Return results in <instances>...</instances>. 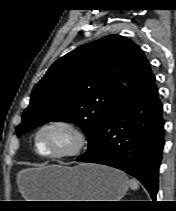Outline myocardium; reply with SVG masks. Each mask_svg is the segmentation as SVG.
I'll return each mask as SVG.
<instances>
[{
    "label": "myocardium",
    "mask_w": 176,
    "mask_h": 211,
    "mask_svg": "<svg viewBox=\"0 0 176 211\" xmlns=\"http://www.w3.org/2000/svg\"><path fill=\"white\" fill-rule=\"evenodd\" d=\"M53 128L62 129L71 137V147L60 152L42 153L38 149V138L42 132ZM87 143L88 140L85 132L73 122L65 119H53L46 121L37 127L33 135L34 151L39 157L43 159H64L77 156L84 150Z\"/></svg>",
    "instance_id": "obj_1"
}]
</instances>
